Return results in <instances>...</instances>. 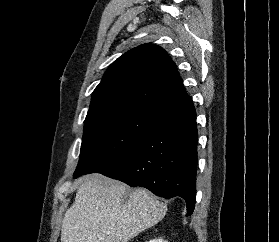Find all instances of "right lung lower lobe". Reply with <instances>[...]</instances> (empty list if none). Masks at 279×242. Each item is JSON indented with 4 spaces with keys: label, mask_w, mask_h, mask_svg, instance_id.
I'll return each mask as SVG.
<instances>
[{
    "label": "right lung lower lobe",
    "mask_w": 279,
    "mask_h": 242,
    "mask_svg": "<svg viewBox=\"0 0 279 242\" xmlns=\"http://www.w3.org/2000/svg\"><path fill=\"white\" fill-rule=\"evenodd\" d=\"M197 128L193 102L160 114L153 132L99 173L166 199L179 196L193 213L196 199Z\"/></svg>",
    "instance_id": "right-lung-lower-lobe-1"
}]
</instances>
